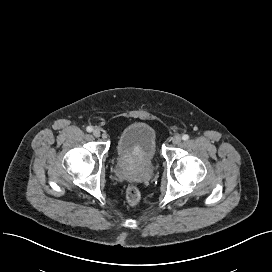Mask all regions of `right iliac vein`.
<instances>
[{"label":"right iliac vein","instance_id":"obj_1","mask_svg":"<svg viewBox=\"0 0 272 272\" xmlns=\"http://www.w3.org/2000/svg\"><path fill=\"white\" fill-rule=\"evenodd\" d=\"M93 135L95 136V137H100V135H101V132H100V130L99 129H94L93 130Z\"/></svg>","mask_w":272,"mask_h":272}]
</instances>
